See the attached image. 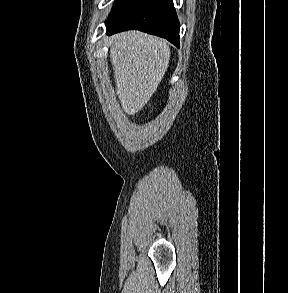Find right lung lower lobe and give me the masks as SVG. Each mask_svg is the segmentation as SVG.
I'll use <instances>...</instances> for the list:
<instances>
[{"instance_id":"1","label":"right lung lower lobe","mask_w":288,"mask_h":293,"mask_svg":"<svg viewBox=\"0 0 288 293\" xmlns=\"http://www.w3.org/2000/svg\"><path fill=\"white\" fill-rule=\"evenodd\" d=\"M105 24L108 35L140 30L166 38L179 47L180 24L172 0H130Z\"/></svg>"}]
</instances>
